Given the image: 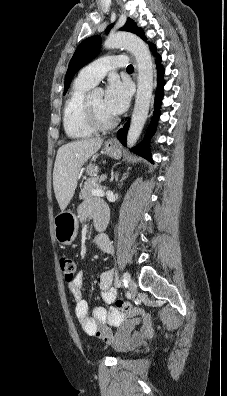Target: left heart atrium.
<instances>
[{
  "instance_id": "obj_1",
  "label": "left heart atrium",
  "mask_w": 227,
  "mask_h": 396,
  "mask_svg": "<svg viewBox=\"0 0 227 396\" xmlns=\"http://www.w3.org/2000/svg\"><path fill=\"white\" fill-rule=\"evenodd\" d=\"M131 97V88L128 83L113 78L109 81L103 105L112 116L122 114L128 107Z\"/></svg>"
}]
</instances>
